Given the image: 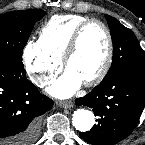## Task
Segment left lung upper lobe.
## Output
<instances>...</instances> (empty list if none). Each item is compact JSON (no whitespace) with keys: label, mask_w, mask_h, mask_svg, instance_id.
Returning a JSON list of instances; mask_svg holds the SVG:
<instances>
[{"label":"left lung upper lobe","mask_w":145,"mask_h":145,"mask_svg":"<svg viewBox=\"0 0 145 145\" xmlns=\"http://www.w3.org/2000/svg\"><path fill=\"white\" fill-rule=\"evenodd\" d=\"M113 42V60L102 81L124 72L145 75V56L134 33L115 18L105 14Z\"/></svg>","instance_id":"obj_1"}]
</instances>
